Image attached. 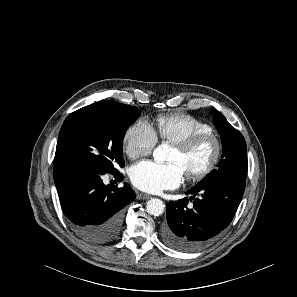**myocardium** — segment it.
<instances>
[{
	"instance_id": "f54148a6",
	"label": "myocardium",
	"mask_w": 297,
	"mask_h": 297,
	"mask_svg": "<svg viewBox=\"0 0 297 297\" xmlns=\"http://www.w3.org/2000/svg\"><path fill=\"white\" fill-rule=\"evenodd\" d=\"M206 141H212L215 147L214 155L210 162L199 172L187 173L189 182H200L208 178L218 167L223 156V143L219 135L214 132H204L190 136L184 140L173 143V146L182 153H189Z\"/></svg>"
}]
</instances>
